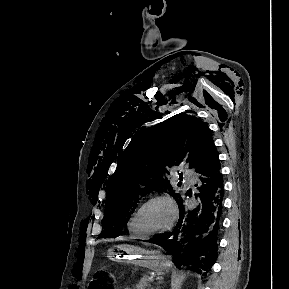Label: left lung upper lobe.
I'll return each instance as SVG.
<instances>
[{"label":"left lung upper lobe","instance_id":"1","mask_svg":"<svg viewBox=\"0 0 289 289\" xmlns=\"http://www.w3.org/2000/svg\"><path fill=\"white\" fill-rule=\"evenodd\" d=\"M214 149L207 124L193 115L179 114L136 134L108 181L99 237L119 236L137 202L153 190L167 192L177 200L180 194L172 189L168 169L186 161L197 171Z\"/></svg>","mask_w":289,"mask_h":289}]
</instances>
